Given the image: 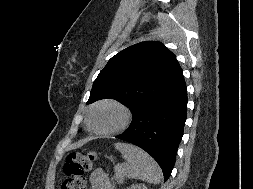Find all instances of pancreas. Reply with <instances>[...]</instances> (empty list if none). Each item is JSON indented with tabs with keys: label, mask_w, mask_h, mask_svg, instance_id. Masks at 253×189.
Listing matches in <instances>:
<instances>
[{
	"label": "pancreas",
	"mask_w": 253,
	"mask_h": 189,
	"mask_svg": "<svg viewBox=\"0 0 253 189\" xmlns=\"http://www.w3.org/2000/svg\"><path fill=\"white\" fill-rule=\"evenodd\" d=\"M116 173H115V176H114V179L117 181L118 184H122L123 181H124V172L122 170V168L116 170Z\"/></svg>",
	"instance_id": "obj_1"
}]
</instances>
